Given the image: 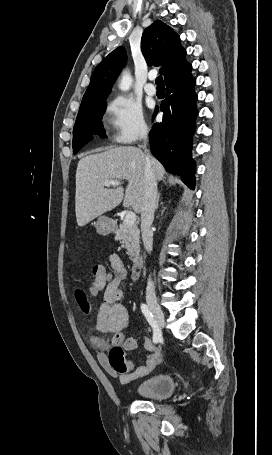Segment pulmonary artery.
<instances>
[{
    "instance_id": "obj_1",
    "label": "pulmonary artery",
    "mask_w": 272,
    "mask_h": 455,
    "mask_svg": "<svg viewBox=\"0 0 272 455\" xmlns=\"http://www.w3.org/2000/svg\"><path fill=\"white\" fill-rule=\"evenodd\" d=\"M149 79L153 80L154 79V75H150ZM144 90H145L146 94H148L149 96H155L156 95V88H155V86L152 83H147L145 85V87H144Z\"/></svg>"
}]
</instances>
